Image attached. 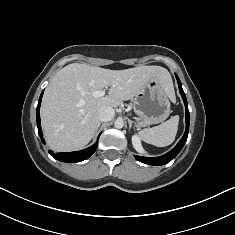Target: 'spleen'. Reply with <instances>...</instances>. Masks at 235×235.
<instances>
[{
	"label": "spleen",
	"mask_w": 235,
	"mask_h": 235,
	"mask_svg": "<svg viewBox=\"0 0 235 235\" xmlns=\"http://www.w3.org/2000/svg\"><path fill=\"white\" fill-rule=\"evenodd\" d=\"M179 116H173L162 124L146 128L139 132V136L146 143L157 147H165L172 144L175 140L178 129Z\"/></svg>",
	"instance_id": "obj_1"
}]
</instances>
